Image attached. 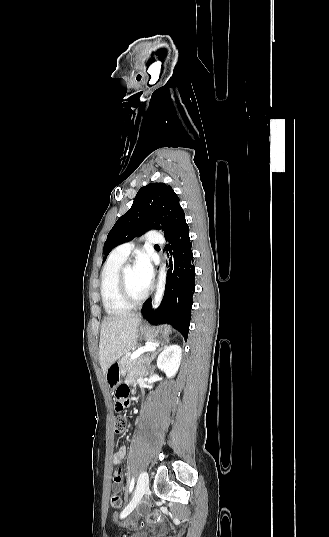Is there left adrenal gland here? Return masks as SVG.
I'll use <instances>...</instances> for the list:
<instances>
[{
    "instance_id": "obj_1",
    "label": "left adrenal gland",
    "mask_w": 329,
    "mask_h": 537,
    "mask_svg": "<svg viewBox=\"0 0 329 537\" xmlns=\"http://www.w3.org/2000/svg\"><path fill=\"white\" fill-rule=\"evenodd\" d=\"M163 347H166V344H162L160 348L156 349L155 351H153L150 355V357L146 358V364L149 366L150 368V373H153L155 367L154 366H150L151 362L153 361V359L156 357V355L158 354L159 351H161L163 349Z\"/></svg>"
}]
</instances>
